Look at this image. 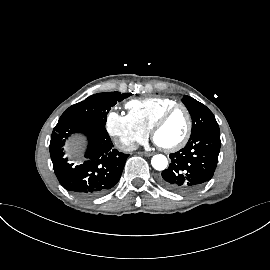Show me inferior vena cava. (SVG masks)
Returning <instances> with one entry per match:
<instances>
[{
    "mask_svg": "<svg viewBox=\"0 0 270 270\" xmlns=\"http://www.w3.org/2000/svg\"><path fill=\"white\" fill-rule=\"evenodd\" d=\"M115 145L119 150H121L123 152H131V151H134L138 148L137 145H135L133 143H122L119 141H116Z\"/></svg>",
    "mask_w": 270,
    "mask_h": 270,
    "instance_id": "1",
    "label": "inferior vena cava"
}]
</instances>
